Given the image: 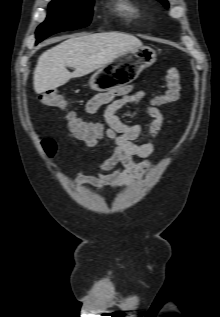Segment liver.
Masks as SVG:
<instances>
[{"label":"liver","mask_w":220,"mask_h":317,"mask_svg":"<svg viewBox=\"0 0 220 317\" xmlns=\"http://www.w3.org/2000/svg\"><path fill=\"white\" fill-rule=\"evenodd\" d=\"M141 47L138 38L119 32L70 37L40 55L34 69V90L40 94L56 89L71 78L85 76L119 55ZM67 67L74 68V72H69Z\"/></svg>","instance_id":"liver-1"}]
</instances>
